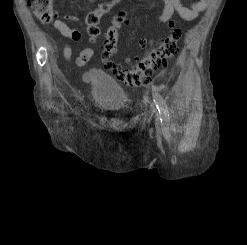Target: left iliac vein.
I'll use <instances>...</instances> for the list:
<instances>
[{
	"label": "left iliac vein",
	"instance_id": "1",
	"mask_svg": "<svg viewBox=\"0 0 247 245\" xmlns=\"http://www.w3.org/2000/svg\"><path fill=\"white\" fill-rule=\"evenodd\" d=\"M156 125H157V127H158L159 123H158V122H156Z\"/></svg>",
	"mask_w": 247,
	"mask_h": 245
}]
</instances>
